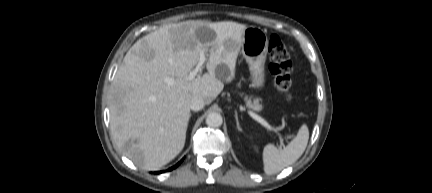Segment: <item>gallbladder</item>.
Returning a JSON list of instances; mask_svg holds the SVG:
<instances>
[{
	"label": "gallbladder",
	"instance_id": "gallbladder-1",
	"mask_svg": "<svg viewBox=\"0 0 432 193\" xmlns=\"http://www.w3.org/2000/svg\"><path fill=\"white\" fill-rule=\"evenodd\" d=\"M207 31H209V32H211V33H213L211 30H207ZM203 41V40H202Z\"/></svg>",
	"mask_w": 432,
	"mask_h": 193
}]
</instances>
